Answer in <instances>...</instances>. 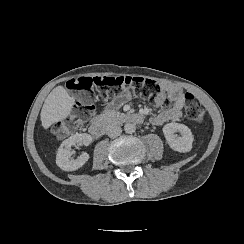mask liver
Instances as JSON below:
<instances>
[{
  "instance_id": "liver-1",
  "label": "liver",
  "mask_w": 244,
  "mask_h": 244,
  "mask_svg": "<svg viewBox=\"0 0 244 244\" xmlns=\"http://www.w3.org/2000/svg\"><path fill=\"white\" fill-rule=\"evenodd\" d=\"M74 107V99L63 85L56 86L45 99L40 118L45 133L57 122L66 119Z\"/></svg>"
}]
</instances>
